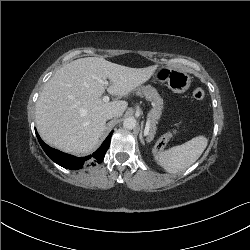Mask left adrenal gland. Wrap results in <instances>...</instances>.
Here are the masks:
<instances>
[{"mask_svg": "<svg viewBox=\"0 0 250 250\" xmlns=\"http://www.w3.org/2000/svg\"><path fill=\"white\" fill-rule=\"evenodd\" d=\"M143 128H144V123L142 122V123H141V130H140V134H139V139H140V142H141L142 144H144V139H143V135H142V133H143Z\"/></svg>", "mask_w": 250, "mask_h": 250, "instance_id": "a2214340", "label": "left adrenal gland"}]
</instances>
